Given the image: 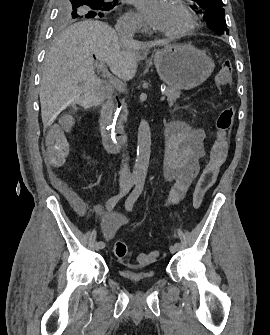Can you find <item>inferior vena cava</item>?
Masks as SVG:
<instances>
[{
	"label": "inferior vena cava",
	"mask_w": 270,
	"mask_h": 335,
	"mask_svg": "<svg viewBox=\"0 0 270 335\" xmlns=\"http://www.w3.org/2000/svg\"><path fill=\"white\" fill-rule=\"evenodd\" d=\"M115 30L120 40H132L135 34V28H132L131 22L130 20H127V18H119V20H117ZM123 142H125V140H123ZM124 162H127V158H125V160H122V166L119 171V181L121 185H128L130 173L128 169V164H124Z\"/></svg>",
	"instance_id": "1"
}]
</instances>
